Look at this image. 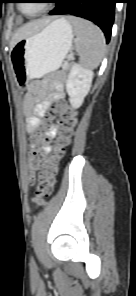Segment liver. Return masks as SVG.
I'll return each instance as SVG.
<instances>
[{"instance_id":"1","label":"liver","mask_w":136,"mask_h":296,"mask_svg":"<svg viewBox=\"0 0 136 296\" xmlns=\"http://www.w3.org/2000/svg\"><path fill=\"white\" fill-rule=\"evenodd\" d=\"M50 22V18L39 19L35 21H31L23 25L12 37L11 47H13L19 40L24 39L36 32H38L41 28L46 26Z\"/></svg>"}]
</instances>
